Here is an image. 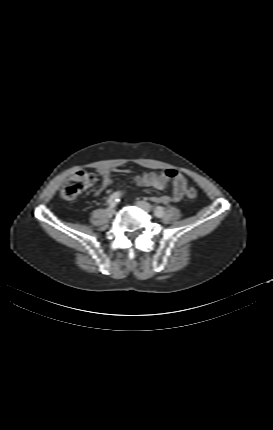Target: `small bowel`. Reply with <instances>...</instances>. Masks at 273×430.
Returning <instances> with one entry per match:
<instances>
[{
	"label": "small bowel",
	"mask_w": 273,
	"mask_h": 430,
	"mask_svg": "<svg viewBox=\"0 0 273 430\" xmlns=\"http://www.w3.org/2000/svg\"><path fill=\"white\" fill-rule=\"evenodd\" d=\"M120 169L103 168L99 171L101 176V185L95 191V195H100L112 183V173L120 172ZM134 181L139 186L154 187L156 189H164L169 182L172 184V193L154 197L152 200L157 203L168 204L180 201L185 193L187 182L185 177L174 170H165L162 172H144L134 177ZM122 193V191H118Z\"/></svg>",
	"instance_id": "1"
}]
</instances>
